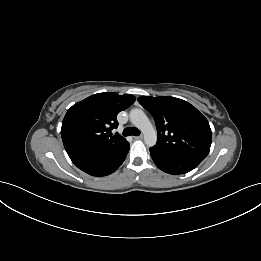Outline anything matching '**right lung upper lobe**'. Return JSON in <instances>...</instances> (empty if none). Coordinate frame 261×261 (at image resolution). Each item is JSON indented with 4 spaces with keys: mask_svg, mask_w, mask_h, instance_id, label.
I'll return each mask as SVG.
<instances>
[{
    "mask_svg": "<svg viewBox=\"0 0 261 261\" xmlns=\"http://www.w3.org/2000/svg\"><path fill=\"white\" fill-rule=\"evenodd\" d=\"M136 98L130 94H94L70 107L63 119L61 137L68 152L81 148L117 147L126 143L117 128V114L130 107Z\"/></svg>",
    "mask_w": 261,
    "mask_h": 261,
    "instance_id": "1",
    "label": "right lung upper lobe"
}]
</instances>
